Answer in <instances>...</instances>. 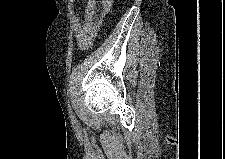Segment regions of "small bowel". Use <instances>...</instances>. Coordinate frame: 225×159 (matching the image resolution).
<instances>
[{"instance_id": "obj_1", "label": "small bowel", "mask_w": 225, "mask_h": 159, "mask_svg": "<svg viewBox=\"0 0 225 159\" xmlns=\"http://www.w3.org/2000/svg\"><path fill=\"white\" fill-rule=\"evenodd\" d=\"M112 5V0H103L99 11V19L95 18L96 2L95 0H89L86 5V18L84 22L78 21L76 26V41L80 50L89 48L93 42L95 35L97 34L101 18L105 16Z\"/></svg>"}]
</instances>
